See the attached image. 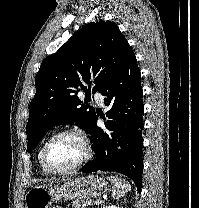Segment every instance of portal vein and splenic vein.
Masks as SVG:
<instances>
[{"label":"portal vein and splenic vein","instance_id":"18ae733b","mask_svg":"<svg viewBox=\"0 0 199 208\" xmlns=\"http://www.w3.org/2000/svg\"><path fill=\"white\" fill-rule=\"evenodd\" d=\"M100 203H101V202H99V201H96V202H95V205H100Z\"/></svg>","mask_w":199,"mask_h":208}]
</instances>
